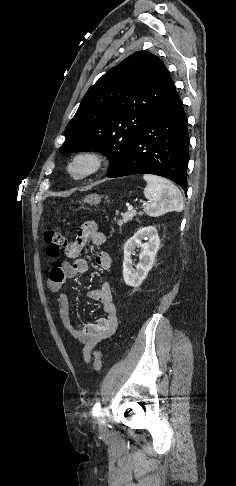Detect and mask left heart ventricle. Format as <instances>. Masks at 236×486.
I'll return each mask as SVG.
<instances>
[{
  "instance_id": "b2bd125f",
  "label": "left heart ventricle",
  "mask_w": 236,
  "mask_h": 486,
  "mask_svg": "<svg viewBox=\"0 0 236 486\" xmlns=\"http://www.w3.org/2000/svg\"><path fill=\"white\" fill-rule=\"evenodd\" d=\"M85 167H86L85 164H79L76 169L77 171H82L85 169Z\"/></svg>"
}]
</instances>
